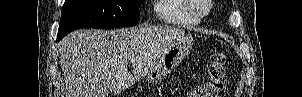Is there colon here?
Instances as JSON below:
<instances>
[{"instance_id":"5ec220e1","label":"colon","mask_w":302,"mask_h":97,"mask_svg":"<svg viewBox=\"0 0 302 97\" xmlns=\"http://www.w3.org/2000/svg\"><path fill=\"white\" fill-rule=\"evenodd\" d=\"M227 63L226 53H213L208 67L209 81L196 86L189 97H217L226 84L225 66Z\"/></svg>"}]
</instances>
